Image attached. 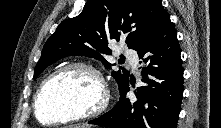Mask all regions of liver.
<instances>
[{
  "instance_id": "1",
  "label": "liver",
  "mask_w": 221,
  "mask_h": 128,
  "mask_svg": "<svg viewBox=\"0 0 221 128\" xmlns=\"http://www.w3.org/2000/svg\"><path fill=\"white\" fill-rule=\"evenodd\" d=\"M69 128H90V126L82 124V125H73V126H70Z\"/></svg>"
}]
</instances>
